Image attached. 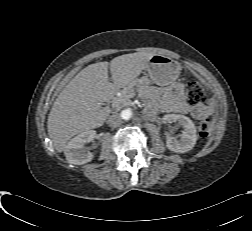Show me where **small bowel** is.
<instances>
[{
    "label": "small bowel",
    "mask_w": 252,
    "mask_h": 231,
    "mask_svg": "<svg viewBox=\"0 0 252 231\" xmlns=\"http://www.w3.org/2000/svg\"><path fill=\"white\" fill-rule=\"evenodd\" d=\"M170 109L177 113H190L195 119L201 120L207 118L210 114V110L205 105L190 106L182 98H177L173 103L168 105Z\"/></svg>",
    "instance_id": "1"
}]
</instances>
